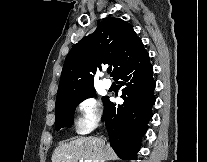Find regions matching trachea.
Listing matches in <instances>:
<instances>
[{
	"label": "trachea",
	"instance_id": "1",
	"mask_svg": "<svg viewBox=\"0 0 207 162\" xmlns=\"http://www.w3.org/2000/svg\"><path fill=\"white\" fill-rule=\"evenodd\" d=\"M107 72L110 73V72H111V68H108V69H107Z\"/></svg>",
	"mask_w": 207,
	"mask_h": 162
}]
</instances>
